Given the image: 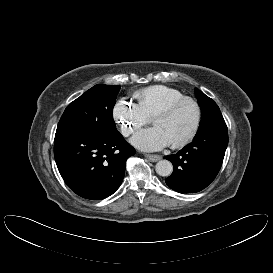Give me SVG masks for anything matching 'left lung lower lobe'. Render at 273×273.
Wrapping results in <instances>:
<instances>
[{
    "instance_id": "1",
    "label": "left lung lower lobe",
    "mask_w": 273,
    "mask_h": 273,
    "mask_svg": "<svg viewBox=\"0 0 273 273\" xmlns=\"http://www.w3.org/2000/svg\"><path fill=\"white\" fill-rule=\"evenodd\" d=\"M228 145V130L197 134L192 143L175 155L165 156L173 164L166 184L179 193L206 188L218 174Z\"/></svg>"
}]
</instances>
